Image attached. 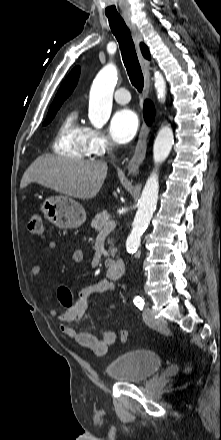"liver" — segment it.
Returning a JSON list of instances; mask_svg holds the SVG:
<instances>
[{
    "mask_svg": "<svg viewBox=\"0 0 221 440\" xmlns=\"http://www.w3.org/2000/svg\"><path fill=\"white\" fill-rule=\"evenodd\" d=\"M107 171L104 161L43 155L25 171L20 187L35 182L67 196L88 200L100 191Z\"/></svg>",
    "mask_w": 221,
    "mask_h": 440,
    "instance_id": "6515ba94",
    "label": "liver"
}]
</instances>
